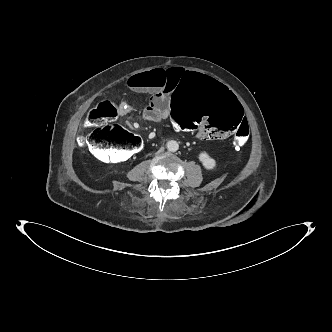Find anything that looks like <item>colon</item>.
Instances as JSON below:
<instances>
[{
	"instance_id": "1",
	"label": "colon",
	"mask_w": 332,
	"mask_h": 332,
	"mask_svg": "<svg viewBox=\"0 0 332 332\" xmlns=\"http://www.w3.org/2000/svg\"><path fill=\"white\" fill-rule=\"evenodd\" d=\"M117 113L116 103L102 101L88 115L86 141L91 144L93 154L103 162H124L144 146L142 138L120 127L98 128L115 118ZM242 117L243 106L239 98L202 73L183 77L171 99L170 118L178 130L213 139H224L234 133V147L244 146L250 135L249 125L244 120L241 122Z\"/></svg>"
}]
</instances>
